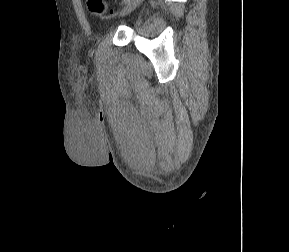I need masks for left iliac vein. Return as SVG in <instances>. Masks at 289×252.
<instances>
[{
	"label": "left iliac vein",
	"mask_w": 289,
	"mask_h": 252,
	"mask_svg": "<svg viewBox=\"0 0 289 252\" xmlns=\"http://www.w3.org/2000/svg\"><path fill=\"white\" fill-rule=\"evenodd\" d=\"M143 0H129L128 3L120 10L119 15L124 16L133 11Z\"/></svg>",
	"instance_id": "4c4485c4"
}]
</instances>
